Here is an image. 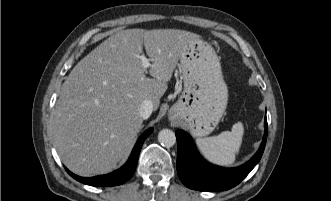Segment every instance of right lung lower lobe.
<instances>
[{
	"label": "right lung lower lobe",
	"mask_w": 331,
	"mask_h": 201,
	"mask_svg": "<svg viewBox=\"0 0 331 201\" xmlns=\"http://www.w3.org/2000/svg\"><path fill=\"white\" fill-rule=\"evenodd\" d=\"M151 132H152V129H149L139 138V140L137 141V143L130 155L129 160L123 167H121L117 171H114L110 174L97 176V177L83 178V177L73 174L67 168H65V169L69 173V175L72 176L74 179H76L77 181H79L81 183L87 184V185L104 187V186H116V185L123 184L127 180H129L131 178V176L133 175V173L136 169L141 147H142L145 139L150 135Z\"/></svg>",
	"instance_id": "right-lung-lower-lobe-1"
}]
</instances>
